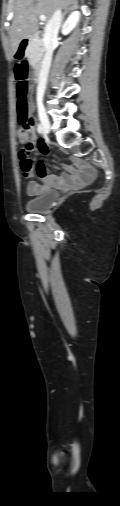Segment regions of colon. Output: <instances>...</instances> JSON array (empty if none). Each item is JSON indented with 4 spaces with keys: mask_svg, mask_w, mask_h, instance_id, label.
<instances>
[{
    "mask_svg": "<svg viewBox=\"0 0 120 506\" xmlns=\"http://www.w3.org/2000/svg\"><path fill=\"white\" fill-rule=\"evenodd\" d=\"M16 53L17 49L12 52V57L18 64L17 70L14 72V77L17 79V119L22 125V129L18 133V139L20 143L23 144L20 155L29 158L33 151L36 138L32 132V123L30 121V106L28 101L29 84L27 82L28 66L25 63L26 58H19Z\"/></svg>",
    "mask_w": 120,
    "mask_h": 506,
    "instance_id": "5ec220e1",
    "label": "colon"
}]
</instances>
